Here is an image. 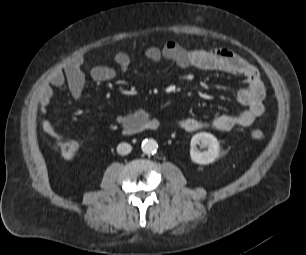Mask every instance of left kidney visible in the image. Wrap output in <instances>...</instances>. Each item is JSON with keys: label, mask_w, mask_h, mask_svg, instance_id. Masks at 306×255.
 Listing matches in <instances>:
<instances>
[{"label": "left kidney", "mask_w": 306, "mask_h": 255, "mask_svg": "<svg viewBox=\"0 0 306 255\" xmlns=\"http://www.w3.org/2000/svg\"><path fill=\"white\" fill-rule=\"evenodd\" d=\"M197 145H200L201 148L207 147V150L200 151ZM219 150L217 138L210 133L200 132L191 138L190 156L192 161L197 164L212 163L218 157Z\"/></svg>", "instance_id": "left-kidney-1"}]
</instances>
